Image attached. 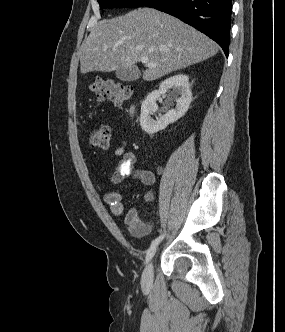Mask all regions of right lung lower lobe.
I'll return each instance as SVG.
<instances>
[{
  "label": "right lung lower lobe",
  "mask_w": 285,
  "mask_h": 332,
  "mask_svg": "<svg viewBox=\"0 0 285 332\" xmlns=\"http://www.w3.org/2000/svg\"><path fill=\"white\" fill-rule=\"evenodd\" d=\"M144 6L193 26L217 42L228 56L232 0H149Z\"/></svg>",
  "instance_id": "right-lung-lower-lobe-1"
}]
</instances>
